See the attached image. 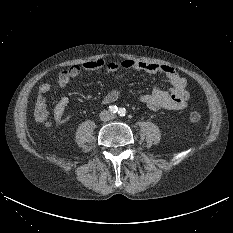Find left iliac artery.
<instances>
[{
    "label": "left iliac artery",
    "instance_id": "obj_1",
    "mask_svg": "<svg viewBox=\"0 0 233 233\" xmlns=\"http://www.w3.org/2000/svg\"><path fill=\"white\" fill-rule=\"evenodd\" d=\"M118 113H119L120 116H125L126 109L125 108H120L119 111H118Z\"/></svg>",
    "mask_w": 233,
    "mask_h": 233
}]
</instances>
